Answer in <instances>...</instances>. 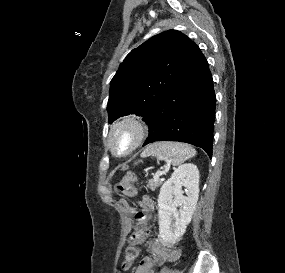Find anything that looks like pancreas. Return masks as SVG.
Listing matches in <instances>:
<instances>
[{"label":"pancreas","mask_w":285,"mask_h":273,"mask_svg":"<svg viewBox=\"0 0 285 273\" xmlns=\"http://www.w3.org/2000/svg\"><path fill=\"white\" fill-rule=\"evenodd\" d=\"M162 184V181L157 179H151L148 181L147 187L150 188L152 191H154L157 187H159Z\"/></svg>","instance_id":"obj_1"}]
</instances>
